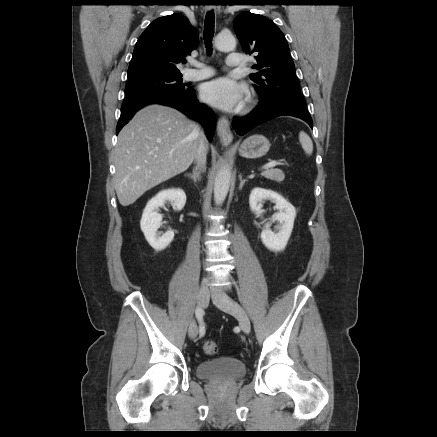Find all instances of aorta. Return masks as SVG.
Instances as JSON below:
<instances>
[{"label":"aorta","mask_w":437,"mask_h":437,"mask_svg":"<svg viewBox=\"0 0 437 437\" xmlns=\"http://www.w3.org/2000/svg\"><path fill=\"white\" fill-rule=\"evenodd\" d=\"M236 46L235 37L230 32H221L215 38V47L220 51H230ZM231 180V170L228 166H222L214 181V202L222 205L224 202Z\"/></svg>","instance_id":"1"}]
</instances>
